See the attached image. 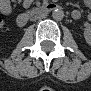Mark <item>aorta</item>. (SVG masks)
Masks as SVG:
<instances>
[{
  "instance_id": "obj_1",
  "label": "aorta",
  "mask_w": 91,
  "mask_h": 91,
  "mask_svg": "<svg viewBox=\"0 0 91 91\" xmlns=\"http://www.w3.org/2000/svg\"><path fill=\"white\" fill-rule=\"evenodd\" d=\"M52 17H53V19L56 20V21L62 20L63 17H64V12H63V10H61V9H55V10H53V12H52Z\"/></svg>"
}]
</instances>
